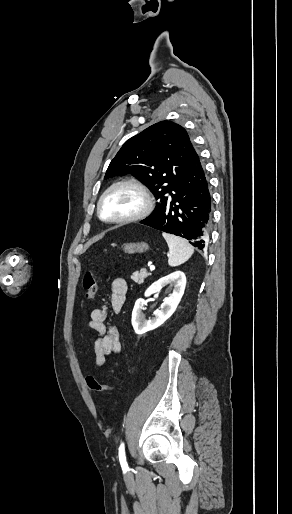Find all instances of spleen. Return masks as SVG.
Instances as JSON below:
<instances>
[{
  "instance_id": "1",
  "label": "spleen",
  "mask_w": 292,
  "mask_h": 514,
  "mask_svg": "<svg viewBox=\"0 0 292 514\" xmlns=\"http://www.w3.org/2000/svg\"><path fill=\"white\" fill-rule=\"evenodd\" d=\"M163 238H165L168 248H169V258L168 264L169 266H181L184 262H187L189 258H191L192 254H194V248L191 244H188L187 240L184 238H179V236H172V234H162Z\"/></svg>"
}]
</instances>
